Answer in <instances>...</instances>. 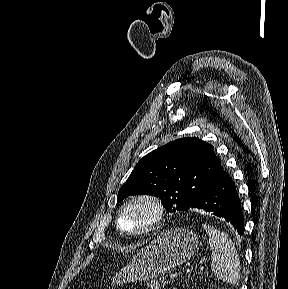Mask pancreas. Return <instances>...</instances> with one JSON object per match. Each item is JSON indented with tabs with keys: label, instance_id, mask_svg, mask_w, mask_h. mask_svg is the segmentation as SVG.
I'll list each match as a JSON object with an SVG mask.
<instances>
[{
	"label": "pancreas",
	"instance_id": "obj_1",
	"mask_svg": "<svg viewBox=\"0 0 288 289\" xmlns=\"http://www.w3.org/2000/svg\"><path fill=\"white\" fill-rule=\"evenodd\" d=\"M167 284H168V282L166 281V279L164 277H162V278H160L159 282L158 281H154L151 284H149L148 287L150 289H162Z\"/></svg>",
	"mask_w": 288,
	"mask_h": 289
}]
</instances>
